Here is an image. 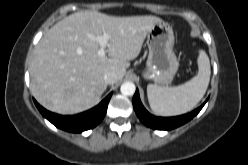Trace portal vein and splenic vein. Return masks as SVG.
<instances>
[{
    "mask_svg": "<svg viewBox=\"0 0 248 165\" xmlns=\"http://www.w3.org/2000/svg\"><path fill=\"white\" fill-rule=\"evenodd\" d=\"M108 39H109V34L107 33L95 37V40L100 44V49L98 50V53H97L99 57H102V58L105 57Z\"/></svg>",
    "mask_w": 248,
    "mask_h": 165,
    "instance_id": "18ae733b",
    "label": "portal vein and splenic vein"
}]
</instances>
